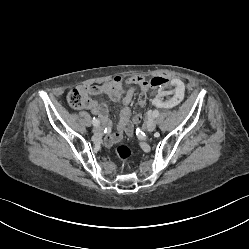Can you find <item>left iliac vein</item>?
I'll use <instances>...</instances> for the list:
<instances>
[{"mask_svg": "<svg viewBox=\"0 0 249 249\" xmlns=\"http://www.w3.org/2000/svg\"><path fill=\"white\" fill-rule=\"evenodd\" d=\"M146 128H147L148 132L154 131L155 128H156V121H155V119H149L148 122H147Z\"/></svg>", "mask_w": 249, "mask_h": 249, "instance_id": "left-iliac-vein-1", "label": "left iliac vein"}]
</instances>
